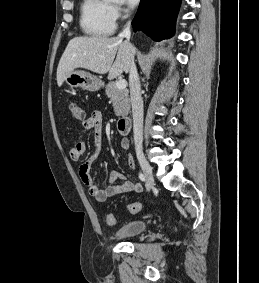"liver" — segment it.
<instances>
[{
    "mask_svg": "<svg viewBox=\"0 0 259 283\" xmlns=\"http://www.w3.org/2000/svg\"><path fill=\"white\" fill-rule=\"evenodd\" d=\"M134 54V47L119 37H75L69 41L59 61L57 84L61 86L67 75L76 68L98 74L108 73V77L113 79L129 72Z\"/></svg>",
    "mask_w": 259,
    "mask_h": 283,
    "instance_id": "1",
    "label": "liver"
}]
</instances>
